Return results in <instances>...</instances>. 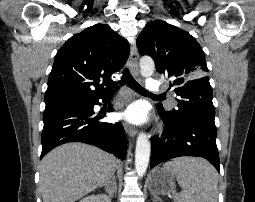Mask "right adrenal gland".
Wrapping results in <instances>:
<instances>
[{
	"label": "right adrenal gland",
	"mask_w": 255,
	"mask_h": 202,
	"mask_svg": "<svg viewBox=\"0 0 255 202\" xmlns=\"http://www.w3.org/2000/svg\"><path fill=\"white\" fill-rule=\"evenodd\" d=\"M110 181L112 182V184L114 186V192H116L117 191V183H116L115 177H113ZM104 186H105V190H106V185L105 184L101 185L100 188L104 187ZM106 192H107V190H106ZM108 194L111 197L112 193L108 192Z\"/></svg>",
	"instance_id": "obj_1"
}]
</instances>
